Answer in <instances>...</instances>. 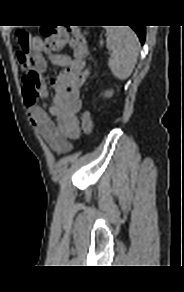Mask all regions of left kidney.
Instances as JSON below:
<instances>
[{
	"label": "left kidney",
	"mask_w": 184,
	"mask_h": 292,
	"mask_svg": "<svg viewBox=\"0 0 184 292\" xmlns=\"http://www.w3.org/2000/svg\"><path fill=\"white\" fill-rule=\"evenodd\" d=\"M112 95H113V91L112 90L105 91V93H104V96L107 97V98L112 97Z\"/></svg>",
	"instance_id": "obj_1"
}]
</instances>
